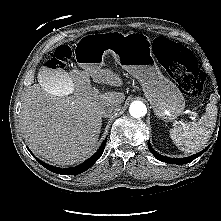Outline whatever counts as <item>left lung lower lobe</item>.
Listing matches in <instances>:
<instances>
[{"label":"left lung lower lobe","mask_w":221,"mask_h":221,"mask_svg":"<svg viewBox=\"0 0 221 221\" xmlns=\"http://www.w3.org/2000/svg\"><path fill=\"white\" fill-rule=\"evenodd\" d=\"M148 148H149L150 152L155 156V158H157L160 161L167 162V163H172V164H186V163H189V162L193 161L194 159H196L197 157H199L200 155H202L208 149V147H206L201 152H199L197 154H194L192 156L186 157V158H169V157L162 156V155L158 154L155 150H153V148L151 147L150 142H148Z\"/></svg>","instance_id":"1"}]
</instances>
